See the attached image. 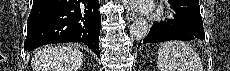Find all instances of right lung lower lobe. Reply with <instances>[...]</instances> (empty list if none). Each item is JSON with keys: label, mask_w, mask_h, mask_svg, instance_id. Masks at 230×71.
I'll return each mask as SVG.
<instances>
[{"label": "right lung lower lobe", "mask_w": 230, "mask_h": 71, "mask_svg": "<svg viewBox=\"0 0 230 71\" xmlns=\"http://www.w3.org/2000/svg\"><path fill=\"white\" fill-rule=\"evenodd\" d=\"M98 0H33L24 49L50 43L82 42L100 55Z\"/></svg>", "instance_id": "obj_1"}]
</instances>
